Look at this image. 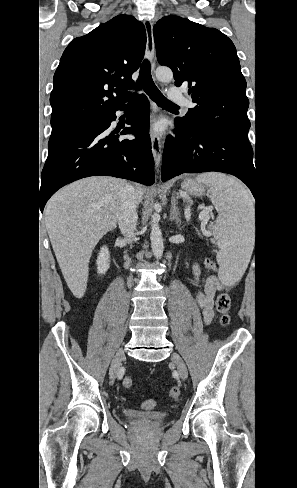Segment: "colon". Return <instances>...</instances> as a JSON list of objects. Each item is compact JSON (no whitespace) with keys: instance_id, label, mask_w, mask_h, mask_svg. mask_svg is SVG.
<instances>
[{"instance_id":"colon-1","label":"colon","mask_w":297,"mask_h":488,"mask_svg":"<svg viewBox=\"0 0 297 488\" xmlns=\"http://www.w3.org/2000/svg\"><path fill=\"white\" fill-rule=\"evenodd\" d=\"M205 268L209 272H214L216 270V263L211 258H206L204 262ZM216 309L220 314V322L223 326H227L230 323V309H231V298L226 293H221L217 296L216 299ZM123 386L125 388H130L133 384L132 377L129 374L124 375L123 377ZM181 390L179 387H173L169 391V396L173 400H177L180 397ZM154 400L145 401L142 404V408L144 410H151L155 407Z\"/></svg>"}]
</instances>
